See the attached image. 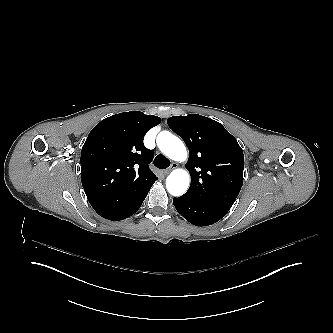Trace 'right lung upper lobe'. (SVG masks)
I'll use <instances>...</instances> for the list:
<instances>
[{"mask_svg":"<svg viewBox=\"0 0 333 333\" xmlns=\"http://www.w3.org/2000/svg\"><path fill=\"white\" fill-rule=\"evenodd\" d=\"M161 119L140 111L119 113L102 120L89 133L81 151V171L95 164L113 176L151 173L154 151L143 144L145 134Z\"/></svg>","mask_w":333,"mask_h":333,"instance_id":"right-lung-upper-lobe-1","label":"right lung upper lobe"}]
</instances>
